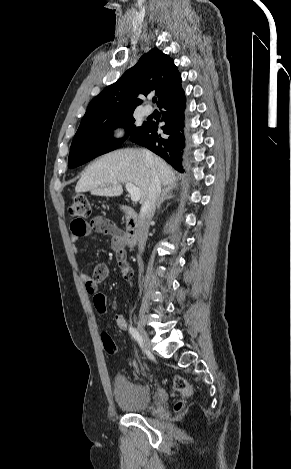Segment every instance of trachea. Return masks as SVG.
Returning <instances> with one entry per match:
<instances>
[{"instance_id":"3493384b","label":"trachea","mask_w":291,"mask_h":469,"mask_svg":"<svg viewBox=\"0 0 291 469\" xmlns=\"http://www.w3.org/2000/svg\"><path fill=\"white\" fill-rule=\"evenodd\" d=\"M152 101H153V103H156L157 98H156V97H153Z\"/></svg>"}]
</instances>
